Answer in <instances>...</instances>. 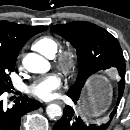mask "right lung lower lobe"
<instances>
[{"label":"right lung lower lobe","instance_id":"right-lung-lower-lobe-1","mask_svg":"<svg viewBox=\"0 0 130 130\" xmlns=\"http://www.w3.org/2000/svg\"><path fill=\"white\" fill-rule=\"evenodd\" d=\"M4 92H10V89L0 90V130H20L21 117L27 112L38 109L41 103L27 96H20L11 108H5L1 100Z\"/></svg>","mask_w":130,"mask_h":130}]
</instances>
